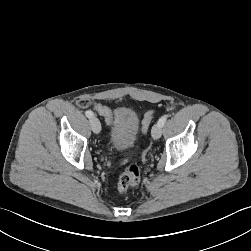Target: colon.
I'll return each mask as SVG.
<instances>
[{
  "instance_id": "obj_1",
  "label": "colon",
  "mask_w": 251,
  "mask_h": 251,
  "mask_svg": "<svg viewBox=\"0 0 251 251\" xmlns=\"http://www.w3.org/2000/svg\"><path fill=\"white\" fill-rule=\"evenodd\" d=\"M90 110H95L96 113L101 115L102 119L104 120L105 124L114 127L117 124V117L113 114V110L102 104L100 101H96L93 103ZM155 111L150 110L148 111L142 120V132L147 133L149 130V126L151 123L152 118L154 117ZM141 180V170L137 164H130L126 171L120 176L118 181V191L120 193L126 192L129 188L134 187L139 184Z\"/></svg>"
}]
</instances>
